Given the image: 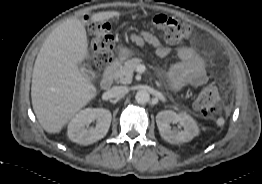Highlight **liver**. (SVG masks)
I'll return each mask as SVG.
<instances>
[{"mask_svg": "<svg viewBox=\"0 0 262 184\" xmlns=\"http://www.w3.org/2000/svg\"><path fill=\"white\" fill-rule=\"evenodd\" d=\"M118 11L92 14L93 23L119 16ZM88 56L86 29L71 18L45 39L34 64L31 98L34 113L48 133H59L97 95V88L79 70Z\"/></svg>", "mask_w": 262, "mask_h": 184, "instance_id": "obj_1", "label": "liver"}]
</instances>
